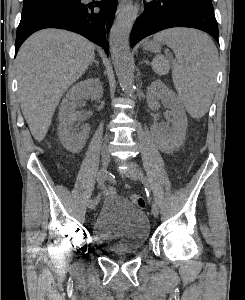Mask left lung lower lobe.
<instances>
[{"instance_id": "0a47b994", "label": "left lung lower lobe", "mask_w": 245, "mask_h": 300, "mask_svg": "<svg viewBox=\"0 0 245 300\" xmlns=\"http://www.w3.org/2000/svg\"><path fill=\"white\" fill-rule=\"evenodd\" d=\"M173 27L202 30L219 43L218 25L212 1L157 0L145 3L144 13L132 29L130 45L133 47L143 38Z\"/></svg>"}]
</instances>
